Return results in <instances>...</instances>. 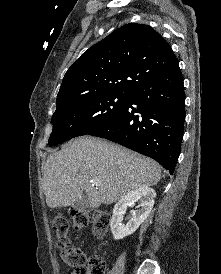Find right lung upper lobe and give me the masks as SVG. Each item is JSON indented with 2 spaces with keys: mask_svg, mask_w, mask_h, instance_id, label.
<instances>
[{
  "mask_svg": "<svg viewBox=\"0 0 221 274\" xmlns=\"http://www.w3.org/2000/svg\"><path fill=\"white\" fill-rule=\"evenodd\" d=\"M177 62L170 45L151 26L126 24L71 65L57 103L104 94L131 95Z\"/></svg>",
  "mask_w": 221,
  "mask_h": 274,
  "instance_id": "obj_1",
  "label": "right lung upper lobe"
}]
</instances>
